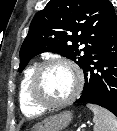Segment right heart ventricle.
Instances as JSON below:
<instances>
[{
  "instance_id": "e07e8e85",
  "label": "right heart ventricle",
  "mask_w": 117,
  "mask_h": 131,
  "mask_svg": "<svg viewBox=\"0 0 117 131\" xmlns=\"http://www.w3.org/2000/svg\"><path fill=\"white\" fill-rule=\"evenodd\" d=\"M35 66H30L24 72L20 86H19V103L22 112L26 116H37L44 112V108H41L33 103L29 95V83Z\"/></svg>"
}]
</instances>
